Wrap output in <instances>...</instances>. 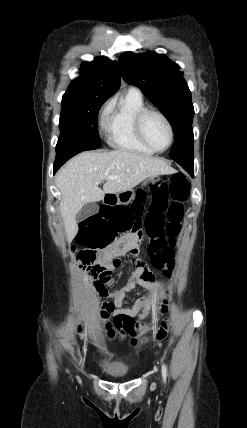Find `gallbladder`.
I'll return each mask as SVG.
<instances>
[{"label": "gallbladder", "mask_w": 247, "mask_h": 428, "mask_svg": "<svg viewBox=\"0 0 247 428\" xmlns=\"http://www.w3.org/2000/svg\"><path fill=\"white\" fill-rule=\"evenodd\" d=\"M98 205L95 202L86 203L82 209L77 213L76 220L81 222L88 217L95 215L98 212Z\"/></svg>", "instance_id": "1"}]
</instances>
